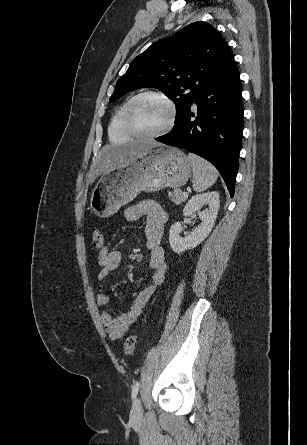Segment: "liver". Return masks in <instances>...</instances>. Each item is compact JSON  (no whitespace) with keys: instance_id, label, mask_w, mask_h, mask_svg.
Here are the masks:
<instances>
[{"instance_id":"liver-1","label":"liver","mask_w":307,"mask_h":445,"mask_svg":"<svg viewBox=\"0 0 307 445\" xmlns=\"http://www.w3.org/2000/svg\"><path fill=\"white\" fill-rule=\"evenodd\" d=\"M154 146H164L162 142H154V144H138V146H124V148H119V146H103L101 148L96 164H93V168H90L88 172L89 182H94L95 178L107 170H111L114 166H121V164H127V162H132L142 150L145 148H154Z\"/></svg>"}]
</instances>
